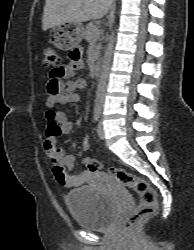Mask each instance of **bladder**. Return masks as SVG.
I'll return each mask as SVG.
<instances>
[{
  "label": "bladder",
  "mask_w": 194,
  "mask_h": 250,
  "mask_svg": "<svg viewBox=\"0 0 194 250\" xmlns=\"http://www.w3.org/2000/svg\"><path fill=\"white\" fill-rule=\"evenodd\" d=\"M65 202L75 223L89 230L106 229L117 216L116 200L89 185L68 191Z\"/></svg>",
  "instance_id": "bladder-1"
}]
</instances>
